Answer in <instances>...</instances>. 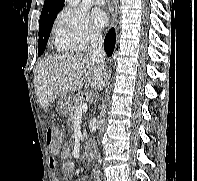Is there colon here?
Here are the masks:
<instances>
[{
  "instance_id": "1",
  "label": "colon",
  "mask_w": 197,
  "mask_h": 181,
  "mask_svg": "<svg viewBox=\"0 0 197 181\" xmlns=\"http://www.w3.org/2000/svg\"><path fill=\"white\" fill-rule=\"evenodd\" d=\"M46 139L51 152L57 153L60 151L63 144V138L57 128L48 127L46 131Z\"/></svg>"
}]
</instances>
